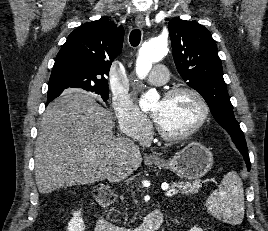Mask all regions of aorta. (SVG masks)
Returning a JSON list of instances; mask_svg holds the SVG:
<instances>
[{"instance_id":"762f6f07","label":"aorta","mask_w":268,"mask_h":231,"mask_svg":"<svg viewBox=\"0 0 268 231\" xmlns=\"http://www.w3.org/2000/svg\"><path fill=\"white\" fill-rule=\"evenodd\" d=\"M168 52V43L166 39L154 38L142 45L139 49V55L136 61V74L140 79L145 78L150 72L153 63L161 61ZM158 93L150 90L144 94L139 106L143 111L150 108L151 102L158 99Z\"/></svg>"}]
</instances>
